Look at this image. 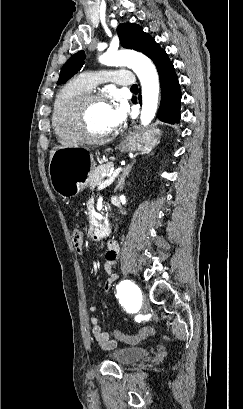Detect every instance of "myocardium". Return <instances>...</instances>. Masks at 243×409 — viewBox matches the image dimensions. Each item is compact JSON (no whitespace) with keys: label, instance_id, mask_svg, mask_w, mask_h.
<instances>
[{"label":"myocardium","instance_id":"obj_1","mask_svg":"<svg viewBox=\"0 0 243 409\" xmlns=\"http://www.w3.org/2000/svg\"><path fill=\"white\" fill-rule=\"evenodd\" d=\"M107 94L99 91H89L82 96H80L74 104L73 107V121L74 125L85 142H102L110 136V132L106 134L96 135L93 134L87 123V112L90 105L97 101L107 102Z\"/></svg>","mask_w":243,"mask_h":409}]
</instances>
